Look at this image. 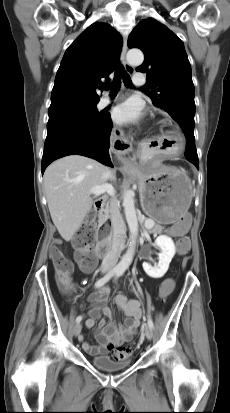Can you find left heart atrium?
<instances>
[{
    "label": "left heart atrium",
    "instance_id": "left-heart-atrium-1",
    "mask_svg": "<svg viewBox=\"0 0 230 413\" xmlns=\"http://www.w3.org/2000/svg\"><path fill=\"white\" fill-rule=\"evenodd\" d=\"M142 116L141 104L136 100H127L115 107L112 118L117 124L136 123Z\"/></svg>",
    "mask_w": 230,
    "mask_h": 413
}]
</instances>
